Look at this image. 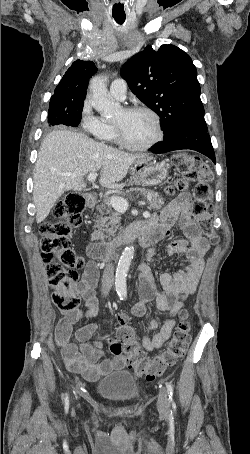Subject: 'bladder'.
<instances>
[{
  "label": "bladder",
  "mask_w": 250,
  "mask_h": 454,
  "mask_svg": "<svg viewBox=\"0 0 250 454\" xmlns=\"http://www.w3.org/2000/svg\"><path fill=\"white\" fill-rule=\"evenodd\" d=\"M96 392L111 403L124 404L136 399L139 385L130 372L118 371L99 380L96 384Z\"/></svg>",
  "instance_id": "1"
}]
</instances>
